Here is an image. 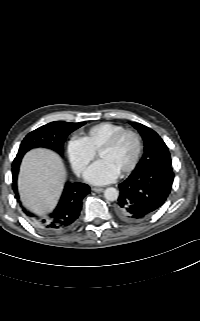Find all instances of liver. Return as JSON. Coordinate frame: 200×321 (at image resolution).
Masks as SVG:
<instances>
[{
  "instance_id": "6515ba94",
  "label": "liver",
  "mask_w": 200,
  "mask_h": 321,
  "mask_svg": "<svg viewBox=\"0 0 200 321\" xmlns=\"http://www.w3.org/2000/svg\"><path fill=\"white\" fill-rule=\"evenodd\" d=\"M64 177V165L56 153L42 148L29 151L18 178L23 204L38 214L48 211L60 194Z\"/></svg>"
}]
</instances>
